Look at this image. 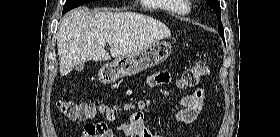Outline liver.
Masks as SVG:
<instances>
[{
	"label": "liver",
	"instance_id": "obj_1",
	"mask_svg": "<svg viewBox=\"0 0 280 137\" xmlns=\"http://www.w3.org/2000/svg\"><path fill=\"white\" fill-rule=\"evenodd\" d=\"M171 32L162 22L133 12H95L77 8L61 20L57 48L61 76L89 60L106 61L135 54ZM110 46V54L105 50Z\"/></svg>",
	"mask_w": 280,
	"mask_h": 137
}]
</instances>
